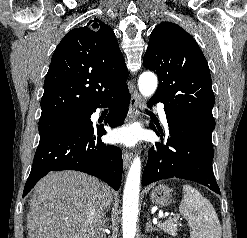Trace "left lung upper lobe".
Wrapping results in <instances>:
<instances>
[{
  "instance_id": "1",
  "label": "left lung upper lobe",
  "mask_w": 247,
  "mask_h": 238,
  "mask_svg": "<svg viewBox=\"0 0 247 238\" xmlns=\"http://www.w3.org/2000/svg\"><path fill=\"white\" fill-rule=\"evenodd\" d=\"M143 65L158 74L159 85L152 98L164 104L167 115L213 131L215 98L210 70L191 35L175 23H160L150 35Z\"/></svg>"
}]
</instances>
